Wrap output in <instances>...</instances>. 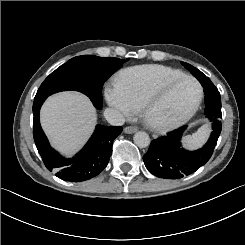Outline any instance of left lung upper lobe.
<instances>
[{
    "label": "left lung upper lobe",
    "mask_w": 245,
    "mask_h": 245,
    "mask_svg": "<svg viewBox=\"0 0 245 245\" xmlns=\"http://www.w3.org/2000/svg\"><path fill=\"white\" fill-rule=\"evenodd\" d=\"M188 70L191 71V73L197 78H201L203 76H205L201 71H199L198 69H196L195 67L191 66L188 63L185 62H181Z\"/></svg>",
    "instance_id": "1"
}]
</instances>
